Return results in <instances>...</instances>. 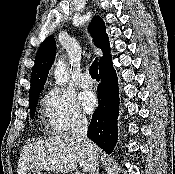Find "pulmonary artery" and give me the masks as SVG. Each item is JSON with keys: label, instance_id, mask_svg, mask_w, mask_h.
I'll use <instances>...</instances> for the list:
<instances>
[{"label": "pulmonary artery", "instance_id": "e3ab8cb5", "mask_svg": "<svg viewBox=\"0 0 175 174\" xmlns=\"http://www.w3.org/2000/svg\"><path fill=\"white\" fill-rule=\"evenodd\" d=\"M78 84L82 88H90L93 85V81L88 73H82L78 78Z\"/></svg>", "mask_w": 175, "mask_h": 174}]
</instances>
